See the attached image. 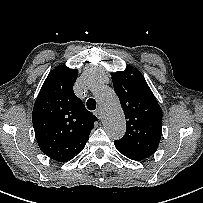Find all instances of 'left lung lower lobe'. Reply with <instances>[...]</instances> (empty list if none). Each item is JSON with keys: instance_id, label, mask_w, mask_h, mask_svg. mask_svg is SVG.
Instances as JSON below:
<instances>
[{"instance_id": "left-lung-lower-lobe-1", "label": "left lung lower lobe", "mask_w": 203, "mask_h": 203, "mask_svg": "<svg viewBox=\"0 0 203 203\" xmlns=\"http://www.w3.org/2000/svg\"><path fill=\"white\" fill-rule=\"evenodd\" d=\"M115 147L117 148V150L123 154L124 156L132 159V160H135V161H141L145 158H147V156L145 155H142V154H139L123 145H120L119 143L115 142Z\"/></svg>"}]
</instances>
